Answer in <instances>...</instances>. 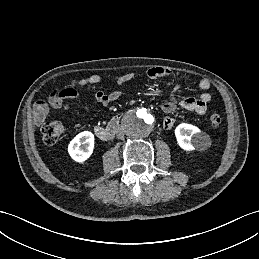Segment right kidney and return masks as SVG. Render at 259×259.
Here are the masks:
<instances>
[{
	"mask_svg": "<svg viewBox=\"0 0 259 259\" xmlns=\"http://www.w3.org/2000/svg\"><path fill=\"white\" fill-rule=\"evenodd\" d=\"M93 148L94 135L89 131H83L69 143L68 153L73 160L82 163L91 156Z\"/></svg>",
	"mask_w": 259,
	"mask_h": 259,
	"instance_id": "ca27d5eb",
	"label": "right kidney"
}]
</instances>
